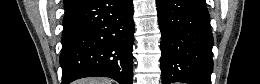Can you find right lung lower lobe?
Masks as SVG:
<instances>
[{
    "label": "right lung lower lobe",
    "instance_id": "1",
    "mask_svg": "<svg viewBox=\"0 0 260 84\" xmlns=\"http://www.w3.org/2000/svg\"><path fill=\"white\" fill-rule=\"evenodd\" d=\"M132 0H84L63 19L62 84L90 76L133 83Z\"/></svg>",
    "mask_w": 260,
    "mask_h": 84
}]
</instances>
